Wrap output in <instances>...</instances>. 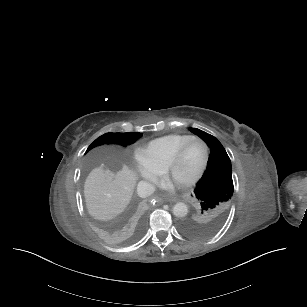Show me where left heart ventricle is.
I'll list each match as a JSON object with an SVG mask.
<instances>
[{
  "label": "left heart ventricle",
  "mask_w": 307,
  "mask_h": 307,
  "mask_svg": "<svg viewBox=\"0 0 307 307\" xmlns=\"http://www.w3.org/2000/svg\"><path fill=\"white\" fill-rule=\"evenodd\" d=\"M204 152L205 148L201 142L189 143L182 159L169 170L168 180L177 185H184L202 165Z\"/></svg>",
  "instance_id": "b2bd125f"
}]
</instances>
